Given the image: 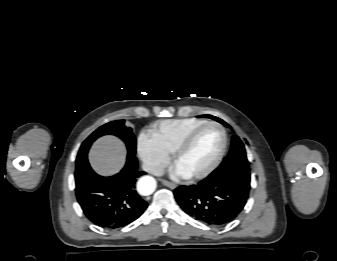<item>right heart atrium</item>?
Listing matches in <instances>:
<instances>
[{"instance_id":"1","label":"right heart atrium","mask_w":337,"mask_h":261,"mask_svg":"<svg viewBox=\"0 0 337 261\" xmlns=\"http://www.w3.org/2000/svg\"><path fill=\"white\" fill-rule=\"evenodd\" d=\"M138 152L146 170L152 174H160L169 162V155L148 133L139 136Z\"/></svg>"}]
</instances>
